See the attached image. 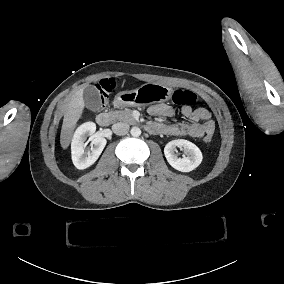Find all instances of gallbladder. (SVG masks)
<instances>
[{"label":"gallbladder","mask_w":284,"mask_h":284,"mask_svg":"<svg viewBox=\"0 0 284 284\" xmlns=\"http://www.w3.org/2000/svg\"><path fill=\"white\" fill-rule=\"evenodd\" d=\"M83 99L86 107L92 111L100 112L101 98L98 89L92 85H88L83 92Z\"/></svg>","instance_id":"obj_1"}]
</instances>
